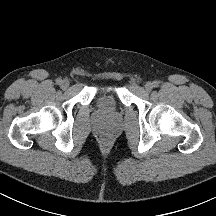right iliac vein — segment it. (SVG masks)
Listing matches in <instances>:
<instances>
[{"mask_svg": "<svg viewBox=\"0 0 216 216\" xmlns=\"http://www.w3.org/2000/svg\"><path fill=\"white\" fill-rule=\"evenodd\" d=\"M69 81L67 79L62 80L61 82V88L66 89L69 87Z\"/></svg>", "mask_w": 216, "mask_h": 216, "instance_id": "right-iliac-vein-1", "label": "right iliac vein"}]
</instances>
